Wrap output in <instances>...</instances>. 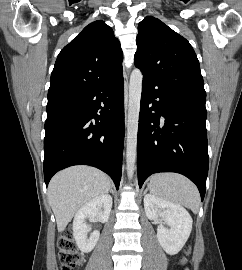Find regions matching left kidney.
Segmentation results:
<instances>
[{"label":"left kidney","instance_id":"5707ae66","mask_svg":"<svg viewBox=\"0 0 242 270\" xmlns=\"http://www.w3.org/2000/svg\"><path fill=\"white\" fill-rule=\"evenodd\" d=\"M146 216L150 220H159L157 239L169 255L177 254L185 245L191 230L192 218L188 211L179 204L168 202L155 195L144 196ZM163 224H168L166 229Z\"/></svg>","mask_w":242,"mask_h":270}]
</instances>
